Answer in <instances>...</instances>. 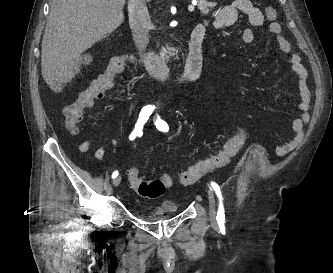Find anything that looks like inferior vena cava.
I'll use <instances>...</instances> for the list:
<instances>
[{
	"label": "inferior vena cava",
	"mask_w": 333,
	"mask_h": 273,
	"mask_svg": "<svg viewBox=\"0 0 333 273\" xmlns=\"http://www.w3.org/2000/svg\"><path fill=\"white\" fill-rule=\"evenodd\" d=\"M128 16L135 45L139 50H144L148 44V32L151 26L146 0H129Z\"/></svg>",
	"instance_id": "inferior-vena-cava-1"
}]
</instances>
